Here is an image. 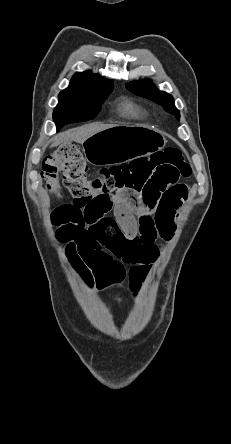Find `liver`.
<instances>
[{"mask_svg":"<svg viewBox=\"0 0 231 444\" xmlns=\"http://www.w3.org/2000/svg\"><path fill=\"white\" fill-rule=\"evenodd\" d=\"M115 126L116 125L113 124L92 123L76 129L68 130L53 137L51 139V147H55L61 143H67L70 141L83 143L87 138L95 133Z\"/></svg>","mask_w":231,"mask_h":444,"instance_id":"6515ba94","label":"liver"}]
</instances>
